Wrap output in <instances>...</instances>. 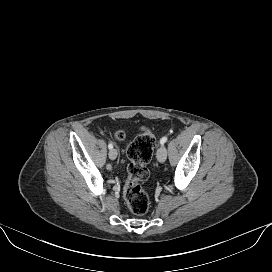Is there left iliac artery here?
<instances>
[{"label":"left iliac artery","mask_w":272,"mask_h":272,"mask_svg":"<svg viewBox=\"0 0 272 272\" xmlns=\"http://www.w3.org/2000/svg\"><path fill=\"white\" fill-rule=\"evenodd\" d=\"M167 141V137H163L160 140L161 145H163Z\"/></svg>","instance_id":"44dca946"}]
</instances>
